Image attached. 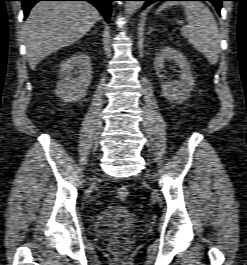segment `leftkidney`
Instances as JSON below:
<instances>
[{"label": "left kidney", "instance_id": "1", "mask_svg": "<svg viewBox=\"0 0 247 265\" xmlns=\"http://www.w3.org/2000/svg\"><path fill=\"white\" fill-rule=\"evenodd\" d=\"M166 61H174L179 66L181 69L180 80L162 83L161 93L172 102L182 103L187 100L195 85L191 65L178 50L166 46L159 51L154 59V69L157 74H161Z\"/></svg>", "mask_w": 247, "mask_h": 265}]
</instances>
